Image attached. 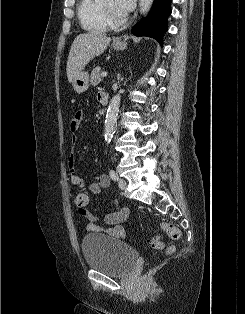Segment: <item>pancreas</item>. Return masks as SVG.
Segmentation results:
<instances>
[{"label":"pancreas","mask_w":245,"mask_h":314,"mask_svg":"<svg viewBox=\"0 0 245 314\" xmlns=\"http://www.w3.org/2000/svg\"><path fill=\"white\" fill-rule=\"evenodd\" d=\"M101 74H102V70L100 67H95L92 70L91 76H90L91 85L93 86L98 85L102 81Z\"/></svg>","instance_id":"obj_1"}]
</instances>
